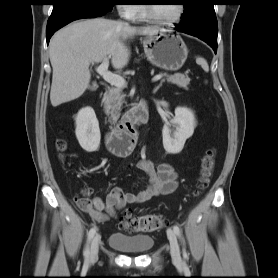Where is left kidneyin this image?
Listing matches in <instances>:
<instances>
[{
    "mask_svg": "<svg viewBox=\"0 0 278 278\" xmlns=\"http://www.w3.org/2000/svg\"><path fill=\"white\" fill-rule=\"evenodd\" d=\"M171 125L177 126L171 135ZM196 119L194 113L185 107H177L175 109V117L170 123L163 126V146L166 152L177 154L182 151L184 144L188 138L194 133Z\"/></svg>",
    "mask_w": 278,
    "mask_h": 278,
    "instance_id": "1",
    "label": "left kidney"
}]
</instances>
